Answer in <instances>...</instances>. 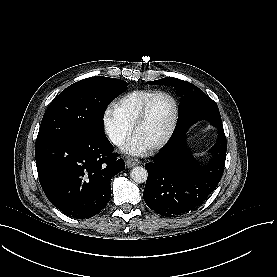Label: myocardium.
<instances>
[{"mask_svg":"<svg viewBox=\"0 0 277 277\" xmlns=\"http://www.w3.org/2000/svg\"><path fill=\"white\" fill-rule=\"evenodd\" d=\"M157 97H165L173 103V114H172V118H171V121H170V125H169L168 130H167L166 134L164 135V137L156 143L146 145V148L148 150H156L158 148H161L163 145H165L169 141V139L171 138V136L174 132V129H175V126H176V123H177V119H178V107H177V103L174 100V98L166 92H156L145 103L143 109L141 110L138 117L136 118V120L134 122V125H133V131H132L133 137H137L138 129H139L142 121L144 120V118L146 116L148 108L151 105L152 101Z\"/></svg>","mask_w":277,"mask_h":277,"instance_id":"f54148a6","label":"myocardium"}]
</instances>
